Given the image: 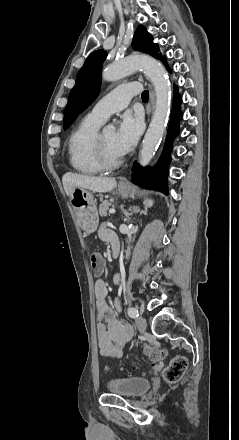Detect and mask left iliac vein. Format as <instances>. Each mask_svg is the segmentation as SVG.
I'll list each match as a JSON object with an SVG mask.
<instances>
[{"label":"left iliac vein","instance_id":"obj_1","mask_svg":"<svg viewBox=\"0 0 239 440\" xmlns=\"http://www.w3.org/2000/svg\"><path fill=\"white\" fill-rule=\"evenodd\" d=\"M136 326L139 331H141V332L145 331L146 327H147L146 320L142 316L137 317L136 318Z\"/></svg>","mask_w":239,"mask_h":440}]
</instances>
